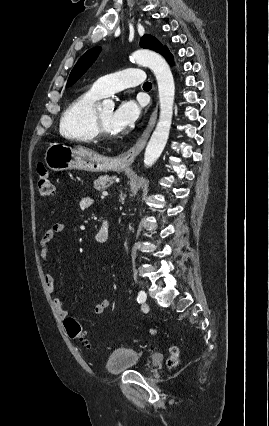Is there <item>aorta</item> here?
I'll return each instance as SVG.
<instances>
[{"label":"aorta","mask_w":269,"mask_h":426,"mask_svg":"<svg viewBox=\"0 0 269 426\" xmlns=\"http://www.w3.org/2000/svg\"><path fill=\"white\" fill-rule=\"evenodd\" d=\"M131 60L139 65L149 67L153 71L158 84L159 120L144 153V165L151 167L160 157L169 137L175 96L174 79L166 60L154 51L148 49L137 50L132 53ZM102 104L113 105L109 100L103 101Z\"/></svg>","instance_id":"762f6f07"}]
</instances>
